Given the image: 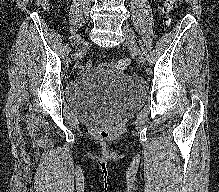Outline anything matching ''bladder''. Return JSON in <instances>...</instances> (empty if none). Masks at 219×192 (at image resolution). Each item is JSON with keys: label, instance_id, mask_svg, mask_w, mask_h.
I'll return each instance as SVG.
<instances>
[{"label": "bladder", "instance_id": "1", "mask_svg": "<svg viewBox=\"0 0 219 192\" xmlns=\"http://www.w3.org/2000/svg\"><path fill=\"white\" fill-rule=\"evenodd\" d=\"M146 94L144 83L107 68L85 73L65 88L68 107L93 122L122 118L138 109Z\"/></svg>", "mask_w": 219, "mask_h": 192}]
</instances>
